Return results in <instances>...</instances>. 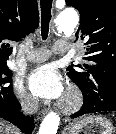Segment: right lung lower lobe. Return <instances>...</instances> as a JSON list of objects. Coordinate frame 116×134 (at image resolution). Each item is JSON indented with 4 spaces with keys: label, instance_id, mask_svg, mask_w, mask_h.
Here are the masks:
<instances>
[{
    "label": "right lung lower lobe",
    "instance_id": "obj_1",
    "mask_svg": "<svg viewBox=\"0 0 116 134\" xmlns=\"http://www.w3.org/2000/svg\"><path fill=\"white\" fill-rule=\"evenodd\" d=\"M0 118H3L26 134H31L34 128L33 118L21 113V105L17 99L12 103L0 105Z\"/></svg>",
    "mask_w": 116,
    "mask_h": 134
}]
</instances>
